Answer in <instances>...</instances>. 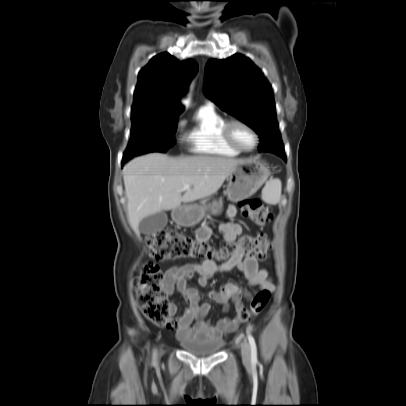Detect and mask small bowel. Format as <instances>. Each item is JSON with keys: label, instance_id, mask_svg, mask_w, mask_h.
Masks as SVG:
<instances>
[{"label": "small bowel", "instance_id": "obj_1", "mask_svg": "<svg viewBox=\"0 0 406 406\" xmlns=\"http://www.w3.org/2000/svg\"><path fill=\"white\" fill-rule=\"evenodd\" d=\"M236 213V207L230 205L226 215L228 218H233ZM218 230L227 243L234 242L243 232L242 226L234 222H222ZM212 233L213 231L210 227H201L196 235L197 241H207ZM232 269H236L241 273L251 287L269 290L274 288L268 271L259 267L256 257H246L243 260L230 259L220 265L215 264L213 261L205 260L200 264L188 263L181 266H173L165 272V287L169 295H173L176 291L180 293L186 303V308L183 314L172 319L166 328L168 330H175L178 339L197 341L219 340L225 333L236 330L238 321L234 317H223L216 323L206 319L211 311V305L209 303L200 304L203 294L189 283L195 275H198L199 284L206 286L214 274L228 272ZM251 296V291L231 282L225 283L220 291L208 293L210 299L224 305L225 311L229 310L230 303H232L237 312L244 307L242 299H249ZM175 312L176 307L173 306L172 313Z\"/></svg>", "mask_w": 406, "mask_h": 406}]
</instances>
